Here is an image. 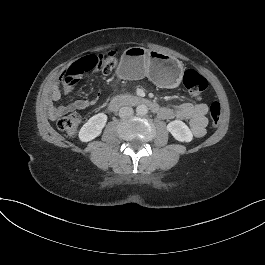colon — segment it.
Masks as SVG:
<instances>
[{
	"instance_id": "1",
	"label": "colon",
	"mask_w": 265,
	"mask_h": 265,
	"mask_svg": "<svg viewBox=\"0 0 265 265\" xmlns=\"http://www.w3.org/2000/svg\"><path fill=\"white\" fill-rule=\"evenodd\" d=\"M116 66V57L114 52L108 53L106 56L102 54L87 55L68 67L61 76V81L65 88L74 86L84 72L99 69L104 74H110ZM183 84L190 94L196 98H200L208 88V81L204 76L189 69L184 72ZM221 106L218 102H213L210 106V117L212 124L216 126L220 121ZM81 118L77 113H71L58 120V127L61 131L69 136L76 134Z\"/></svg>"
}]
</instances>
